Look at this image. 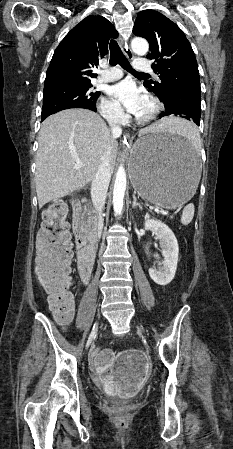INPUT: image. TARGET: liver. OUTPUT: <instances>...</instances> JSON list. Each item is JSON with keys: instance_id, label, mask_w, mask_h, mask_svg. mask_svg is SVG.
Here are the masks:
<instances>
[{"instance_id": "1", "label": "liver", "mask_w": 233, "mask_h": 449, "mask_svg": "<svg viewBox=\"0 0 233 449\" xmlns=\"http://www.w3.org/2000/svg\"><path fill=\"white\" fill-rule=\"evenodd\" d=\"M181 120L164 118L141 129L139 136L158 130L172 131ZM103 119L86 109H68L49 116L41 125L36 154L35 183L39 208L70 195L88 184L110 144L112 172L118 143ZM79 160L83 166L75 169Z\"/></svg>"}]
</instances>
